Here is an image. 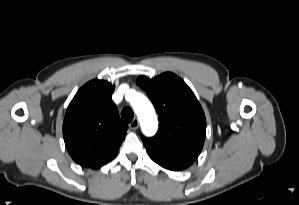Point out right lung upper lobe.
<instances>
[{
    "label": "right lung upper lobe",
    "instance_id": "obj_1",
    "mask_svg": "<svg viewBox=\"0 0 299 205\" xmlns=\"http://www.w3.org/2000/svg\"><path fill=\"white\" fill-rule=\"evenodd\" d=\"M114 88L107 81L92 80L81 87L67 108L65 145L82 167L97 169L111 161L125 138L127 125L111 99Z\"/></svg>",
    "mask_w": 299,
    "mask_h": 205
}]
</instances>
